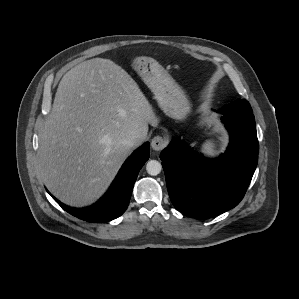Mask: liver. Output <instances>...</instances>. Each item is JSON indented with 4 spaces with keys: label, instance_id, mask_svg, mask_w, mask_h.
Instances as JSON below:
<instances>
[{
    "label": "liver",
    "instance_id": "liver-1",
    "mask_svg": "<svg viewBox=\"0 0 299 299\" xmlns=\"http://www.w3.org/2000/svg\"><path fill=\"white\" fill-rule=\"evenodd\" d=\"M157 122L137 83L112 60L76 65L61 79L40 134L45 185L66 205H90L132 152L122 141L133 135L145 139L148 124Z\"/></svg>",
    "mask_w": 299,
    "mask_h": 299
}]
</instances>
